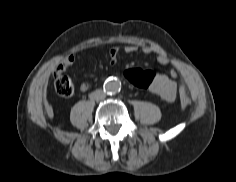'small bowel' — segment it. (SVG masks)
Listing matches in <instances>:
<instances>
[{"mask_svg":"<svg viewBox=\"0 0 236 182\" xmlns=\"http://www.w3.org/2000/svg\"><path fill=\"white\" fill-rule=\"evenodd\" d=\"M141 49L144 53H154L156 55L157 62L159 64H167L169 62V58L167 53L164 50H157L152 45H143L139 47L136 44H129L124 47V51L126 53H134ZM119 48L112 47L109 51L110 60L112 63H115L118 57ZM154 73V72H153ZM179 76V73L176 70L171 71V77L161 74L154 73V78L149 86L150 92L158 95L162 100L166 102H173L176 99L178 93V84L172 79ZM83 89L89 88V83L84 82L82 85Z\"/></svg>","mask_w":236,"mask_h":182,"instance_id":"c3829d8e","label":"small bowel"}]
</instances>
